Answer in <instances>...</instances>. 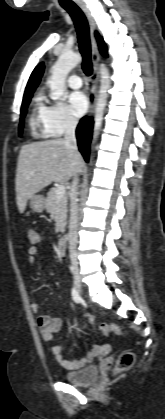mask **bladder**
I'll return each mask as SVG.
<instances>
[{"label": "bladder", "instance_id": "31cf9c89", "mask_svg": "<svg viewBox=\"0 0 165 419\" xmlns=\"http://www.w3.org/2000/svg\"><path fill=\"white\" fill-rule=\"evenodd\" d=\"M63 377L68 383L72 385H76V386L87 385L98 379L99 367L92 365V366H86L84 368H81L75 371H66L63 373Z\"/></svg>", "mask_w": 165, "mask_h": 419}]
</instances>
